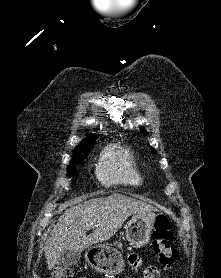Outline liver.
Instances as JSON below:
<instances>
[{
  "label": "liver",
  "instance_id": "obj_1",
  "mask_svg": "<svg viewBox=\"0 0 221 278\" xmlns=\"http://www.w3.org/2000/svg\"><path fill=\"white\" fill-rule=\"evenodd\" d=\"M71 202L70 208L60 216L45 244V257L49 269L65 250L81 253L96 243L109 240L131 215L152 213L150 204L122 194ZM94 231L86 235L89 225Z\"/></svg>",
  "mask_w": 221,
  "mask_h": 278
}]
</instances>
